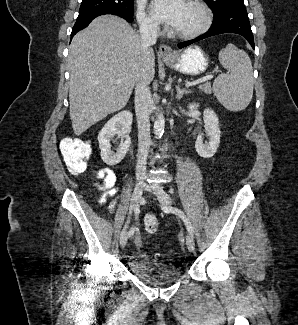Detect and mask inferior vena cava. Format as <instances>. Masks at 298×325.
<instances>
[{
    "label": "inferior vena cava",
    "instance_id": "602c4592",
    "mask_svg": "<svg viewBox=\"0 0 298 325\" xmlns=\"http://www.w3.org/2000/svg\"><path fill=\"white\" fill-rule=\"evenodd\" d=\"M139 32L143 46V54L152 44H156L158 28L154 22L141 18ZM154 108V100L150 86L141 78L135 86V112L138 124V152L136 165V179H145L146 165L151 142L150 114Z\"/></svg>",
    "mask_w": 298,
    "mask_h": 325
}]
</instances>
